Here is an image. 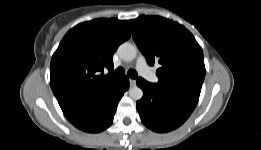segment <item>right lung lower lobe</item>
Listing matches in <instances>:
<instances>
[{
    "label": "right lung lower lobe",
    "instance_id": "right-lung-lower-lobe-1",
    "mask_svg": "<svg viewBox=\"0 0 261 150\" xmlns=\"http://www.w3.org/2000/svg\"><path fill=\"white\" fill-rule=\"evenodd\" d=\"M129 88V80L122 77L121 85L110 95L88 106L68 120L78 129L86 132H100L113 121L118 102Z\"/></svg>",
    "mask_w": 261,
    "mask_h": 150
}]
</instances>
